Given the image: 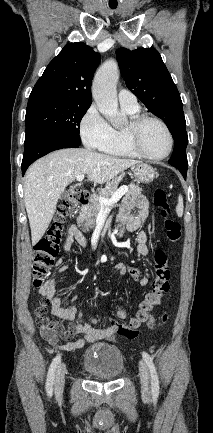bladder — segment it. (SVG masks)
<instances>
[{
  "label": "bladder",
  "mask_w": 213,
  "mask_h": 433,
  "mask_svg": "<svg viewBox=\"0 0 213 433\" xmlns=\"http://www.w3.org/2000/svg\"><path fill=\"white\" fill-rule=\"evenodd\" d=\"M82 366L87 373L96 378L115 379L123 373L124 356L117 346L98 343L86 350Z\"/></svg>",
  "instance_id": "obj_1"
}]
</instances>
